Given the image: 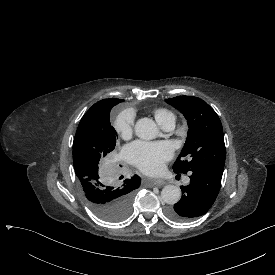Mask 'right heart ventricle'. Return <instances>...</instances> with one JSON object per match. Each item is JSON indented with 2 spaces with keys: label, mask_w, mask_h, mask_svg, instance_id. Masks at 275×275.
<instances>
[{
  "label": "right heart ventricle",
  "mask_w": 275,
  "mask_h": 275,
  "mask_svg": "<svg viewBox=\"0 0 275 275\" xmlns=\"http://www.w3.org/2000/svg\"><path fill=\"white\" fill-rule=\"evenodd\" d=\"M154 116H155V119L159 125L163 122L170 120V119L175 120V115L171 111L164 109V108L156 109L154 111Z\"/></svg>",
  "instance_id": "e07e8e85"
}]
</instances>
